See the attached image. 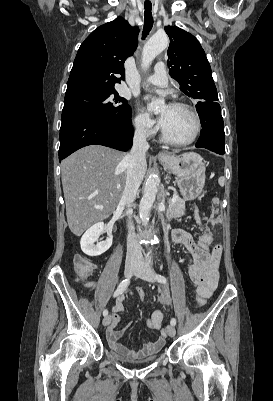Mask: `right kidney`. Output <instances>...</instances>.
<instances>
[{
	"mask_svg": "<svg viewBox=\"0 0 273 401\" xmlns=\"http://www.w3.org/2000/svg\"><path fill=\"white\" fill-rule=\"evenodd\" d=\"M104 231V223H96V225H93V227H90V229L84 233L83 237H81L80 247L85 255L98 257V255H102V253L110 249L112 245L111 233H109V237H107L106 241L98 243L99 235L104 233Z\"/></svg>",
	"mask_w": 273,
	"mask_h": 401,
	"instance_id": "ca27d5eb",
	"label": "right kidney"
}]
</instances>
